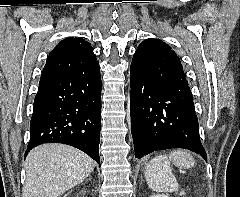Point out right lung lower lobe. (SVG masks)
Returning a JSON list of instances; mask_svg holds the SVG:
<instances>
[{
	"label": "right lung lower lobe",
	"mask_w": 240,
	"mask_h": 197,
	"mask_svg": "<svg viewBox=\"0 0 240 197\" xmlns=\"http://www.w3.org/2000/svg\"><path fill=\"white\" fill-rule=\"evenodd\" d=\"M100 123L99 67L43 77L34 100L27 150L44 143H63L82 150L100 165Z\"/></svg>",
	"instance_id": "right-lung-lower-lobe-1"
}]
</instances>
